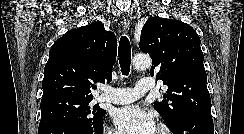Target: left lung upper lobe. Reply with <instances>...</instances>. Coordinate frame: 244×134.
Returning <instances> with one entry per match:
<instances>
[{
    "instance_id": "obj_1",
    "label": "left lung upper lobe",
    "mask_w": 244,
    "mask_h": 134,
    "mask_svg": "<svg viewBox=\"0 0 244 134\" xmlns=\"http://www.w3.org/2000/svg\"><path fill=\"white\" fill-rule=\"evenodd\" d=\"M139 47L152 58L150 74H157L168 86L163 97L170 102L154 103L168 127L185 114L212 117L200 38L191 26L179 20L150 18L142 28Z\"/></svg>"
}]
</instances>
